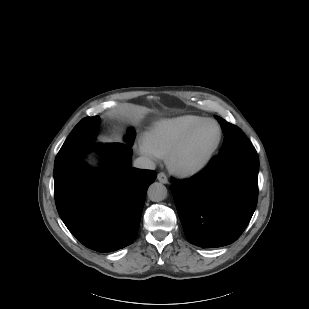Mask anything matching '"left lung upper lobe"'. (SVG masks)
<instances>
[{"label":"left lung upper lobe","mask_w":309,"mask_h":309,"mask_svg":"<svg viewBox=\"0 0 309 309\" xmlns=\"http://www.w3.org/2000/svg\"><path fill=\"white\" fill-rule=\"evenodd\" d=\"M224 131V143L219 154H225L237 149L252 146V143L237 126L226 122L224 119L216 116Z\"/></svg>","instance_id":"5c2ea615"}]
</instances>
